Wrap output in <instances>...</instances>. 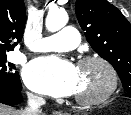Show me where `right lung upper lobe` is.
<instances>
[{
	"instance_id": "right-lung-upper-lobe-1",
	"label": "right lung upper lobe",
	"mask_w": 131,
	"mask_h": 115,
	"mask_svg": "<svg viewBox=\"0 0 131 115\" xmlns=\"http://www.w3.org/2000/svg\"><path fill=\"white\" fill-rule=\"evenodd\" d=\"M25 23L23 0H0V53L14 50L23 37Z\"/></svg>"
}]
</instances>
